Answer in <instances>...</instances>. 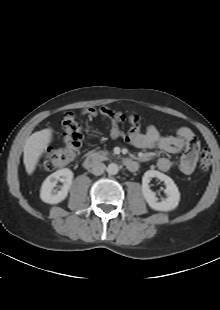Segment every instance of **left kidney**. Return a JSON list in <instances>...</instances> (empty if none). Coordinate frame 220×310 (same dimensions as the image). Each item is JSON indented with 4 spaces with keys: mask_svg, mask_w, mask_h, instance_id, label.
<instances>
[{
    "mask_svg": "<svg viewBox=\"0 0 220 310\" xmlns=\"http://www.w3.org/2000/svg\"><path fill=\"white\" fill-rule=\"evenodd\" d=\"M153 177L158 178L160 181H164L166 185L165 193L167 198L161 202H158L155 192L150 189L149 183ZM142 193L148 203V205L157 211H171L174 210L180 200V192L174 181L167 175L156 171L148 170L142 177Z\"/></svg>",
    "mask_w": 220,
    "mask_h": 310,
    "instance_id": "obj_1",
    "label": "left kidney"
}]
</instances>
